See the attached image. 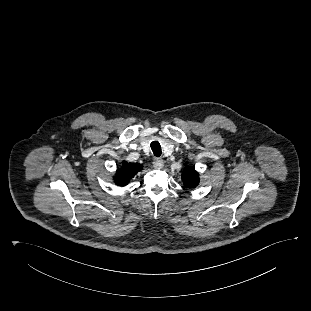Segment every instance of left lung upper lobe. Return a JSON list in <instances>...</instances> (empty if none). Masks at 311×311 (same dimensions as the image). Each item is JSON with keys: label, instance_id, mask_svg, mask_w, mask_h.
<instances>
[{"label": "left lung upper lobe", "instance_id": "5c2ea615", "mask_svg": "<svg viewBox=\"0 0 311 311\" xmlns=\"http://www.w3.org/2000/svg\"><path fill=\"white\" fill-rule=\"evenodd\" d=\"M182 180L186 187L194 188L199 182V174L195 170L186 166L182 173Z\"/></svg>", "mask_w": 311, "mask_h": 311}]
</instances>
